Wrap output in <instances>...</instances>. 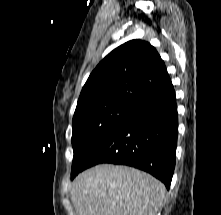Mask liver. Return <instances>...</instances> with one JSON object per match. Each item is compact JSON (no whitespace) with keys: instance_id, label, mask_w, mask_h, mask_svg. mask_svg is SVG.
Returning a JSON list of instances; mask_svg holds the SVG:
<instances>
[{"instance_id":"1","label":"liver","mask_w":221,"mask_h":215,"mask_svg":"<svg viewBox=\"0 0 221 215\" xmlns=\"http://www.w3.org/2000/svg\"><path fill=\"white\" fill-rule=\"evenodd\" d=\"M165 193L164 184L150 174L102 164L76 177L71 201L78 215H157Z\"/></svg>"}]
</instances>
